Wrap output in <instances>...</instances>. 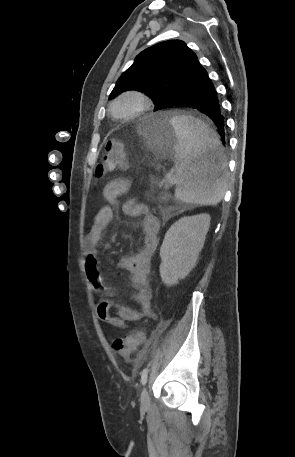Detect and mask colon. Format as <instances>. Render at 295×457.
Here are the masks:
<instances>
[{"label":"colon","mask_w":295,"mask_h":457,"mask_svg":"<svg viewBox=\"0 0 295 457\" xmlns=\"http://www.w3.org/2000/svg\"><path fill=\"white\" fill-rule=\"evenodd\" d=\"M127 163L128 156L122 142L118 139H110L105 145L102 160L96 167V174L100 177L107 172L123 169L127 166ZM144 340V333L136 331L125 337L115 339L112 347L121 356L130 358Z\"/></svg>","instance_id":"obj_1"}]
</instances>
